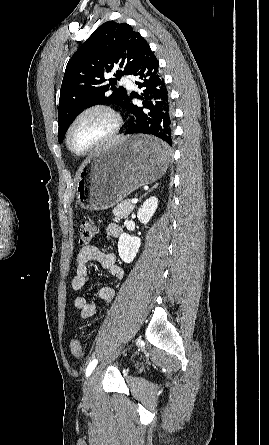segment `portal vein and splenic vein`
I'll return each mask as SVG.
<instances>
[{
	"instance_id": "portal-vein-and-splenic-vein-1",
	"label": "portal vein and splenic vein",
	"mask_w": 269,
	"mask_h": 445,
	"mask_svg": "<svg viewBox=\"0 0 269 445\" xmlns=\"http://www.w3.org/2000/svg\"><path fill=\"white\" fill-rule=\"evenodd\" d=\"M133 204L137 203V199H132L131 201Z\"/></svg>"
}]
</instances>
